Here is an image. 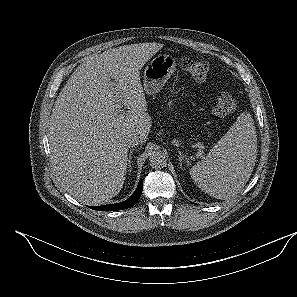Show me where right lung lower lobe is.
Masks as SVG:
<instances>
[{
  "label": "right lung lower lobe",
  "mask_w": 297,
  "mask_h": 297,
  "mask_svg": "<svg viewBox=\"0 0 297 297\" xmlns=\"http://www.w3.org/2000/svg\"><path fill=\"white\" fill-rule=\"evenodd\" d=\"M142 190H143V180L141 179L139 181L136 191L126 201L118 203V204L95 206V207H90V208H92L94 210H98V211H115V210H122V209L130 208L136 204V202L138 201V199L141 196Z\"/></svg>",
  "instance_id": "obj_1"
}]
</instances>
